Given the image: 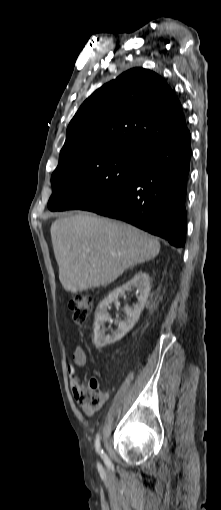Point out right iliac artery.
Segmentation results:
<instances>
[{
  "mask_svg": "<svg viewBox=\"0 0 221 510\" xmlns=\"http://www.w3.org/2000/svg\"><path fill=\"white\" fill-rule=\"evenodd\" d=\"M95 446H96V450L100 453V455L102 456V458L104 459V461L106 463H110V460L108 459L107 455L104 453V451L100 448V437L99 435H97L96 437V443H95Z\"/></svg>",
  "mask_w": 221,
  "mask_h": 510,
  "instance_id": "82829eb1",
  "label": "right iliac artery"
}]
</instances>
